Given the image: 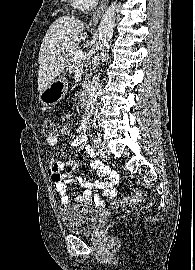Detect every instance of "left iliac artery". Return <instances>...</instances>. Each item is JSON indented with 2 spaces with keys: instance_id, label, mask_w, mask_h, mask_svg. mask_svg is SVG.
<instances>
[{
  "instance_id": "1",
  "label": "left iliac artery",
  "mask_w": 195,
  "mask_h": 270,
  "mask_svg": "<svg viewBox=\"0 0 195 270\" xmlns=\"http://www.w3.org/2000/svg\"><path fill=\"white\" fill-rule=\"evenodd\" d=\"M94 141L96 142V144H97V147H98V143H99V139H94Z\"/></svg>"
}]
</instances>
